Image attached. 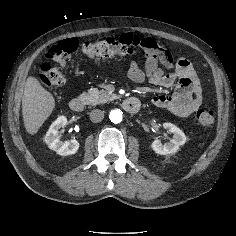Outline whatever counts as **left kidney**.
I'll return each instance as SVG.
<instances>
[{"mask_svg":"<svg viewBox=\"0 0 236 236\" xmlns=\"http://www.w3.org/2000/svg\"><path fill=\"white\" fill-rule=\"evenodd\" d=\"M163 127L173 134V139L165 144H162L159 140H155L152 142V149L160 155L176 153L179 147L186 143L187 138L184 132L172 123H164Z\"/></svg>","mask_w":236,"mask_h":236,"instance_id":"5707ae66","label":"left kidney"}]
</instances>
